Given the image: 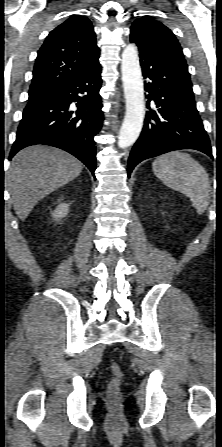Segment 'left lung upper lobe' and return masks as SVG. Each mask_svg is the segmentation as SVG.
I'll use <instances>...</instances> for the list:
<instances>
[{"label":"left lung upper lobe","instance_id":"obj_1","mask_svg":"<svg viewBox=\"0 0 222 447\" xmlns=\"http://www.w3.org/2000/svg\"><path fill=\"white\" fill-rule=\"evenodd\" d=\"M130 39L164 54L188 71L178 40L162 23L149 17L138 18L132 24Z\"/></svg>","mask_w":222,"mask_h":447}]
</instances>
